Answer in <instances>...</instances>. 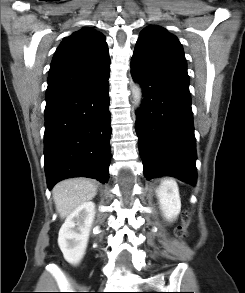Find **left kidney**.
I'll use <instances>...</instances> for the list:
<instances>
[{"label":"left kidney","instance_id":"left-kidney-1","mask_svg":"<svg viewBox=\"0 0 245 293\" xmlns=\"http://www.w3.org/2000/svg\"><path fill=\"white\" fill-rule=\"evenodd\" d=\"M156 193L164 217L169 221L176 219L181 210L177 183L172 179L164 180L156 190Z\"/></svg>","mask_w":245,"mask_h":293}]
</instances>
